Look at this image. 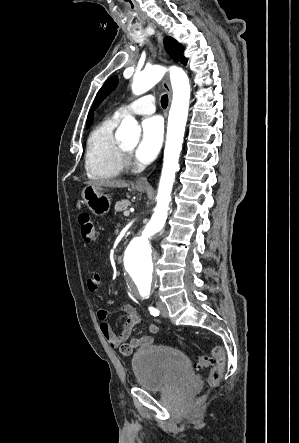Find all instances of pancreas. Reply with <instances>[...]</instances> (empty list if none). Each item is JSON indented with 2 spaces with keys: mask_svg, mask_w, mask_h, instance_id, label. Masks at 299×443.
<instances>
[{
  "mask_svg": "<svg viewBox=\"0 0 299 443\" xmlns=\"http://www.w3.org/2000/svg\"><path fill=\"white\" fill-rule=\"evenodd\" d=\"M129 206H130V201L129 200L119 201L115 205V212L126 211Z\"/></svg>",
  "mask_w": 299,
  "mask_h": 443,
  "instance_id": "obj_1",
  "label": "pancreas"
}]
</instances>
